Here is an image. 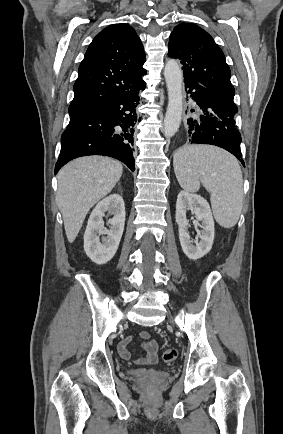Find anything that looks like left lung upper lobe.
<instances>
[{"mask_svg":"<svg viewBox=\"0 0 283 434\" xmlns=\"http://www.w3.org/2000/svg\"><path fill=\"white\" fill-rule=\"evenodd\" d=\"M168 56L179 59L184 79L233 99L231 71L213 38L195 24L181 23L174 28L168 43Z\"/></svg>","mask_w":283,"mask_h":434,"instance_id":"1","label":"left lung upper lobe"}]
</instances>
